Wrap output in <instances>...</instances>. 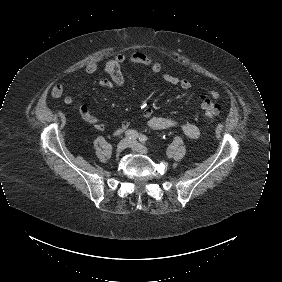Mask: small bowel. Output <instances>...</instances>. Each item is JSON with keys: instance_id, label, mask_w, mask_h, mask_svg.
I'll return each mask as SVG.
<instances>
[{"instance_id": "small-bowel-1", "label": "small bowel", "mask_w": 282, "mask_h": 282, "mask_svg": "<svg viewBox=\"0 0 282 282\" xmlns=\"http://www.w3.org/2000/svg\"><path fill=\"white\" fill-rule=\"evenodd\" d=\"M139 64L148 67L154 73H160L162 71V65L160 62L152 59L150 56L143 52H133L131 54H118L114 59L106 64L105 71L110 76V79H103L99 82L101 88L120 87L125 84V79L121 73V68L125 64ZM98 70L96 63H89L84 73L91 75ZM79 75H75L78 78ZM161 79L167 84L177 86L183 91H189L192 88V84L188 79L179 78L170 74H162ZM64 86L62 84H56L51 88V96L53 98H60L64 94ZM213 98H218L219 93L212 91ZM64 103L66 105H74L75 101L71 96L64 97ZM79 112L82 119L91 124L97 130H104L105 124L99 116L94 115L86 104L79 106ZM144 121L145 124L153 130H179L190 139H198L201 135L200 129L191 123L184 122L182 120L168 117V116H157L154 114L152 108H146L140 116L132 119L122 121L114 131V135H120L129 129L137 121Z\"/></svg>"}]
</instances>
